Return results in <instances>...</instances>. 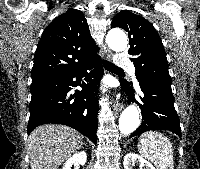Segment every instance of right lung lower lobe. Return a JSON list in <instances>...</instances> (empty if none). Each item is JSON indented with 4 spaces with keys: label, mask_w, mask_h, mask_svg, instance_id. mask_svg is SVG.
Wrapping results in <instances>:
<instances>
[{
    "label": "right lung lower lobe",
    "mask_w": 200,
    "mask_h": 169,
    "mask_svg": "<svg viewBox=\"0 0 200 169\" xmlns=\"http://www.w3.org/2000/svg\"><path fill=\"white\" fill-rule=\"evenodd\" d=\"M103 75L100 58L94 57L77 70L31 84L30 118L27 132L42 124L55 123L70 126L95 144L98 127V98L96 86ZM73 78L85 82H75ZM80 84L81 91L69 95L72 86Z\"/></svg>",
    "instance_id": "right-lung-lower-lobe-1"
}]
</instances>
